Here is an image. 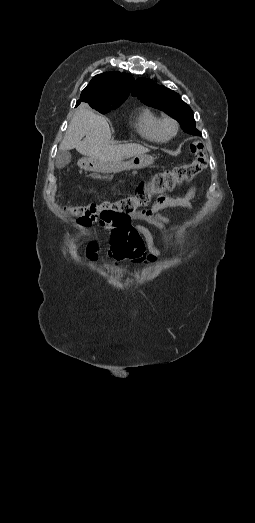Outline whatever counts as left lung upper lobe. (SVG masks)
Wrapping results in <instances>:
<instances>
[{
  "mask_svg": "<svg viewBox=\"0 0 255 523\" xmlns=\"http://www.w3.org/2000/svg\"><path fill=\"white\" fill-rule=\"evenodd\" d=\"M144 104L163 110L176 119L181 128L193 135H201L195 128V120L191 108L183 102L174 91L155 84L146 78H138L135 82L133 92Z\"/></svg>",
  "mask_w": 255,
  "mask_h": 523,
  "instance_id": "5c2ea615",
  "label": "left lung upper lobe"
}]
</instances>
